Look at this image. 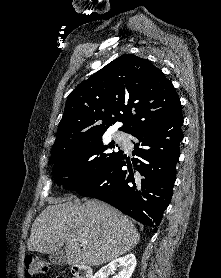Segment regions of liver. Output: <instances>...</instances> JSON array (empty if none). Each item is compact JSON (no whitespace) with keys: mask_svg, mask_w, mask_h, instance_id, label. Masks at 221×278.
I'll return each mask as SVG.
<instances>
[{"mask_svg":"<svg viewBox=\"0 0 221 278\" xmlns=\"http://www.w3.org/2000/svg\"><path fill=\"white\" fill-rule=\"evenodd\" d=\"M35 219L29 251L49 254L66 244L70 266H99L136 247L140 235L129 218L97 200H53ZM80 240H86L81 243Z\"/></svg>","mask_w":221,"mask_h":278,"instance_id":"obj_1","label":"liver"}]
</instances>
